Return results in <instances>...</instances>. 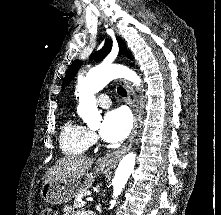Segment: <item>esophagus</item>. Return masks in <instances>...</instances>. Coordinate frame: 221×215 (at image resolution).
<instances>
[{
    "label": "esophagus",
    "instance_id": "1",
    "mask_svg": "<svg viewBox=\"0 0 221 215\" xmlns=\"http://www.w3.org/2000/svg\"><path fill=\"white\" fill-rule=\"evenodd\" d=\"M120 84L128 92V101H129V104L131 106L132 113L134 116V124H133L131 134L128 140L126 141V143L119 150L112 152V153H108L99 159L101 164H103L104 166L108 168L115 167L120 161V159L130 150V148L133 145L137 128H138V102L136 100L135 94L124 79H120Z\"/></svg>",
    "mask_w": 221,
    "mask_h": 215
}]
</instances>
